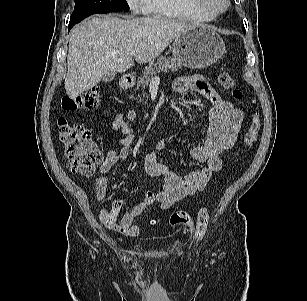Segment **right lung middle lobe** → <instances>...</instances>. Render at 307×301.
<instances>
[{"label": "right lung middle lobe", "instance_id": "obj_1", "mask_svg": "<svg viewBox=\"0 0 307 301\" xmlns=\"http://www.w3.org/2000/svg\"><path fill=\"white\" fill-rule=\"evenodd\" d=\"M126 0H75V8L69 23H78L96 13L127 11Z\"/></svg>", "mask_w": 307, "mask_h": 301}]
</instances>
